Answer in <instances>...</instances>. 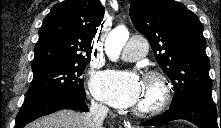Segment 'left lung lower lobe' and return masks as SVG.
<instances>
[{"label":"left lung lower lobe","instance_id":"1","mask_svg":"<svg viewBox=\"0 0 221 128\" xmlns=\"http://www.w3.org/2000/svg\"><path fill=\"white\" fill-rule=\"evenodd\" d=\"M219 115L212 99L194 98L185 101L179 106L170 108L163 114L141 123L142 126H153L167 123L176 119H185L199 128H221Z\"/></svg>","mask_w":221,"mask_h":128}]
</instances>
